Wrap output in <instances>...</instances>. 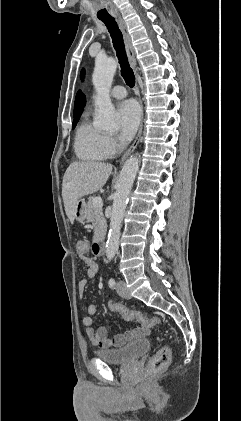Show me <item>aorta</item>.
<instances>
[{"mask_svg":"<svg viewBox=\"0 0 241 421\" xmlns=\"http://www.w3.org/2000/svg\"><path fill=\"white\" fill-rule=\"evenodd\" d=\"M116 69L117 62L114 58L96 60L92 81L97 92L95 103L98 107V114L94 123L100 129L112 130L117 126L115 122V108L109 96ZM138 169L139 159L132 156L126 160L120 173L113 200L110 230L106 244V256L109 260L115 256L119 248L121 224L128 202V196Z\"/></svg>","mask_w":241,"mask_h":421,"instance_id":"762f6f07","label":"aorta"}]
</instances>
